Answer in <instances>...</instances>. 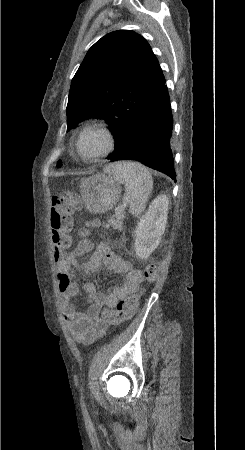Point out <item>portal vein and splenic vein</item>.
Instances as JSON below:
<instances>
[{
	"instance_id": "1",
	"label": "portal vein and splenic vein",
	"mask_w": 245,
	"mask_h": 450,
	"mask_svg": "<svg viewBox=\"0 0 245 450\" xmlns=\"http://www.w3.org/2000/svg\"><path fill=\"white\" fill-rule=\"evenodd\" d=\"M127 203H128V199H126V200L123 202V204L119 205V206L115 209V213H120V212H122V211L125 209Z\"/></svg>"
}]
</instances>
